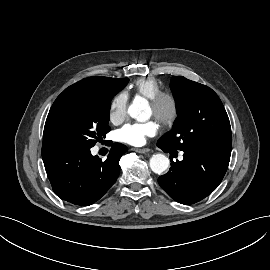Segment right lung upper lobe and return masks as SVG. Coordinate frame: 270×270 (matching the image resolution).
Wrapping results in <instances>:
<instances>
[{
    "mask_svg": "<svg viewBox=\"0 0 270 270\" xmlns=\"http://www.w3.org/2000/svg\"><path fill=\"white\" fill-rule=\"evenodd\" d=\"M119 79L109 77H89L85 78L65 89L62 94L73 93L83 90H103L110 88L118 82Z\"/></svg>",
    "mask_w": 270,
    "mask_h": 270,
    "instance_id": "1",
    "label": "right lung upper lobe"
}]
</instances>
